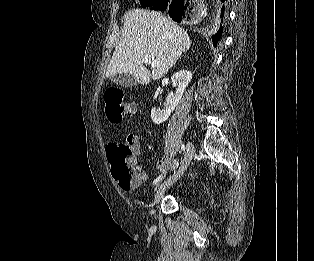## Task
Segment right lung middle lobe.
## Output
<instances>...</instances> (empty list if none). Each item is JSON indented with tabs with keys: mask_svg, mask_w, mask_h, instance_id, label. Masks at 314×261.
I'll return each instance as SVG.
<instances>
[{
	"mask_svg": "<svg viewBox=\"0 0 314 261\" xmlns=\"http://www.w3.org/2000/svg\"><path fill=\"white\" fill-rule=\"evenodd\" d=\"M162 0H140L142 7H150L152 5L160 3Z\"/></svg>",
	"mask_w": 314,
	"mask_h": 261,
	"instance_id": "right-lung-middle-lobe-1",
	"label": "right lung middle lobe"
}]
</instances>
